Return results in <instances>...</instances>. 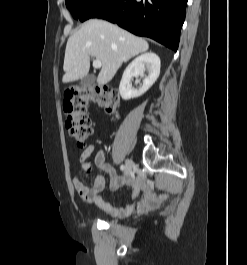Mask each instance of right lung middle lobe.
Segmentation results:
<instances>
[{"label":"right lung middle lobe","mask_w":247,"mask_h":265,"mask_svg":"<svg viewBox=\"0 0 247 265\" xmlns=\"http://www.w3.org/2000/svg\"><path fill=\"white\" fill-rule=\"evenodd\" d=\"M100 0H66V7L75 19L81 20L85 13Z\"/></svg>","instance_id":"dd1d6c3e"}]
</instances>
